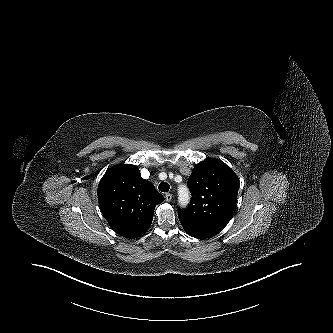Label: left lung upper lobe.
Masks as SVG:
<instances>
[{"label": "left lung upper lobe", "instance_id": "left-lung-upper-lobe-1", "mask_svg": "<svg viewBox=\"0 0 333 333\" xmlns=\"http://www.w3.org/2000/svg\"><path fill=\"white\" fill-rule=\"evenodd\" d=\"M191 204L178 217L187 234L209 238L228 224L237 202L239 179L224 162L206 159L198 163L187 182Z\"/></svg>", "mask_w": 333, "mask_h": 333}]
</instances>
